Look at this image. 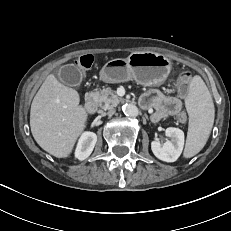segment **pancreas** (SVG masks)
<instances>
[{
	"label": "pancreas",
	"mask_w": 231,
	"mask_h": 231,
	"mask_svg": "<svg viewBox=\"0 0 231 231\" xmlns=\"http://www.w3.org/2000/svg\"><path fill=\"white\" fill-rule=\"evenodd\" d=\"M92 95L95 102L104 110L116 107L122 101L110 87L94 91Z\"/></svg>",
	"instance_id": "pancreas-1"
}]
</instances>
